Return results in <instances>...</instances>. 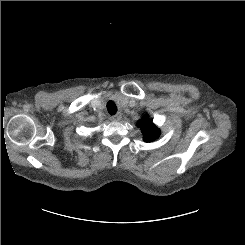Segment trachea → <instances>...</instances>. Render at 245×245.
Masks as SVG:
<instances>
[{
    "instance_id": "obj_1",
    "label": "trachea",
    "mask_w": 245,
    "mask_h": 245,
    "mask_svg": "<svg viewBox=\"0 0 245 245\" xmlns=\"http://www.w3.org/2000/svg\"><path fill=\"white\" fill-rule=\"evenodd\" d=\"M107 110H108L110 115H114L116 113L117 108H116L115 103L113 101H109L107 103Z\"/></svg>"
}]
</instances>
